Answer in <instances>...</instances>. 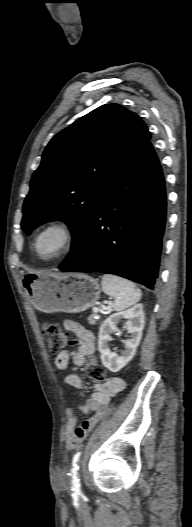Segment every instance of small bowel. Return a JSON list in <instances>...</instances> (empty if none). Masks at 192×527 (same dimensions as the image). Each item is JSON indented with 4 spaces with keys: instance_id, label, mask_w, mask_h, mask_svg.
<instances>
[{
    "instance_id": "c3829d8e",
    "label": "small bowel",
    "mask_w": 192,
    "mask_h": 527,
    "mask_svg": "<svg viewBox=\"0 0 192 527\" xmlns=\"http://www.w3.org/2000/svg\"><path fill=\"white\" fill-rule=\"evenodd\" d=\"M64 327L78 338V348L74 353L62 351L55 357V365L60 370H66L71 364L81 367L86 363L88 356L94 353L95 343L93 333L74 320H65ZM65 382L70 387L82 391L85 387V380L77 374H68ZM125 387V383L120 378H111L104 383L97 384L94 392L87 399L78 405L79 411L84 415L92 412L98 414L77 425L78 419L76 411L72 408L66 411V426L64 440L68 449L78 446L87 436V433L99 420V414L105 409L111 397L118 394Z\"/></svg>"
}]
</instances>
